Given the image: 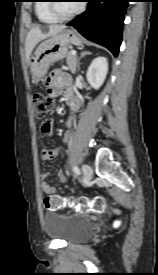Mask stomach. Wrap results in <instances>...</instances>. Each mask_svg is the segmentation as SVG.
I'll return each mask as SVG.
<instances>
[{"label":"stomach","mask_w":158,"mask_h":275,"mask_svg":"<svg viewBox=\"0 0 158 275\" xmlns=\"http://www.w3.org/2000/svg\"><path fill=\"white\" fill-rule=\"evenodd\" d=\"M81 44L82 38L72 29H64L42 42L30 62L33 78L37 81L43 78L53 63L64 59L68 55V48L71 45Z\"/></svg>","instance_id":"obj_1"}]
</instances>
